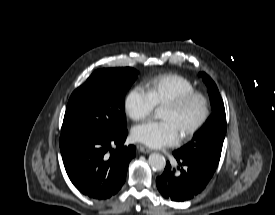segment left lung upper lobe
I'll list each match as a JSON object with an SVG mask.
<instances>
[{"label": "left lung upper lobe", "instance_id": "1", "mask_svg": "<svg viewBox=\"0 0 275 215\" xmlns=\"http://www.w3.org/2000/svg\"><path fill=\"white\" fill-rule=\"evenodd\" d=\"M200 75L208 87L213 113L194 134L192 140L176 152L180 156L195 158L217 167L227 127L225 108L213 80L204 72Z\"/></svg>", "mask_w": 275, "mask_h": 215}]
</instances>
